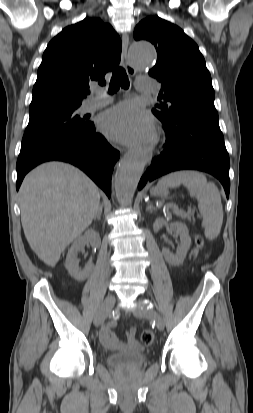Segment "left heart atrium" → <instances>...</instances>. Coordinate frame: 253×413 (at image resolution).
Segmentation results:
<instances>
[{"instance_id": "left-heart-atrium-1", "label": "left heart atrium", "mask_w": 253, "mask_h": 413, "mask_svg": "<svg viewBox=\"0 0 253 413\" xmlns=\"http://www.w3.org/2000/svg\"><path fill=\"white\" fill-rule=\"evenodd\" d=\"M98 126L105 135L124 144L145 141L154 131L151 116L128 102L105 111L99 118Z\"/></svg>"}]
</instances>
